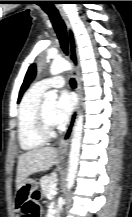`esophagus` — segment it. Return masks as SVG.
<instances>
[{
	"mask_svg": "<svg viewBox=\"0 0 132 217\" xmlns=\"http://www.w3.org/2000/svg\"><path fill=\"white\" fill-rule=\"evenodd\" d=\"M63 20L65 21L66 27H67V35H68V44H69V56L70 60L73 66V74L76 78L77 82V95H78V104L76 107V110L71 118V121L59 143L58 146V153L62 156H66L68 154V147L70 140L73 135L74 131V126L76 122V118L78 115V110L80 107V102H81V85H80V63H79V54H78V49H77V44H76V38L74 34L73 27L66 15H62Z\"/></svg>",
	"mask_w": 132,
	"mask_h": 217,
	"instance_id": "esophagus-1",
	"label": "esophagus"
}]
</instances>
